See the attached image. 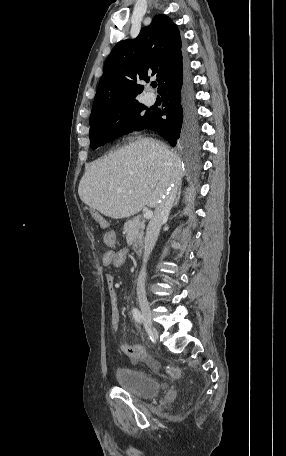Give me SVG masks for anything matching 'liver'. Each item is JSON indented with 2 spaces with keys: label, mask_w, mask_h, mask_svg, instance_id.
I'll return each mask as SVG.
<instances>
[{
  "label": "liver",
  "mask_w": 286,
  "mask_h": 456,
  "mask_svg": "<svg viewBox=\"0 0 286 456\" xmlns=\"http://www.w3.org/2000/svg\"><path fill=\"white\" fill-rule=\"evenodd\" d=\"M181 160L164 143L144 138L88 167L79 183L80 199L105 216L119 219L156 207L162 192L175 191L183 177Z\"/></svg>",
  "instance_id": "1"
}]
</instances>
